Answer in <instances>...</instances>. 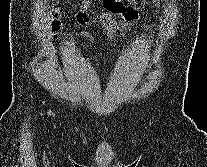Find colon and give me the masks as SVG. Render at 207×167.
<instances>
[{"mask_svg": "<svg viewBox=\"0 0 207 167\" xmlns=\"http://www.w3.org/2000/svg\"><path fill=\"white\" fill-rule=\"evenodd\" d=\"M56 15H57V14H56ZM59 25H60L59 20H55V21L53 22V27H54L55 29L58 28Z\"/></svg>", "mask_w": 207, "mask_h": 167, "instance_id": "colon-1", "label": "colon"}]
</instances>
